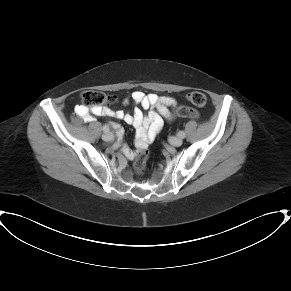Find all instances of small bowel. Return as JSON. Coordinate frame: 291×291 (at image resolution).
<instances>
[{
	"label": "small bowel",
	"instance_id": "1",
	"mask_svg": "<svg viewBox=\"0 0 291 291\" xmlns=\"http://www.w3.org/2000/svg\"><path fill=\"white\" fill-rule=\"evenodd\" d=\"M125 104L134 102L140 108H136L132 113H126L122 110L114 111L108 107H98L96 109H86L83 105L75 106V114L80 118L92 121L94 115L109 116L123 120L132 125L137 130V149H144L151 143L163 126V118L169 116L170 109L175 108L177 100L169 96H158L156 94H145L142 91H134L123 101ZM146 110L147 113H143ZM114 128L121 131L117 124ZM122 153L127 158H134L136 152L123 145Z\"/></svg>",
	"mask_w": 291,
	"mask_h": 291
}]
</instances>
